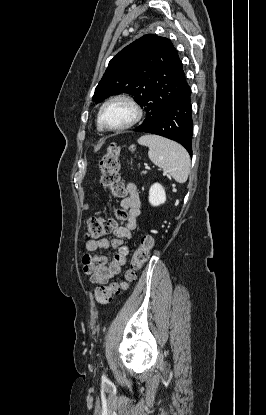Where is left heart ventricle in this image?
I'll use <instances>...</instances> for the list:
<instances>
[{"label":"left heart ventricle","instance_id":"b2bd125f","mask_svg":"<svg viewBox=\"0 0 266 415\" xmlns=\"http://www.w3.org/2000/svg\"><path fill=\"white\" fill-rule=\"evenodd\" d=\"M133 117L130 106L124 102H115L108 105L103 112V121L111 127L126 124Z\"/></svg>","mask_w":266,"mask_h":415}]
</instances>
